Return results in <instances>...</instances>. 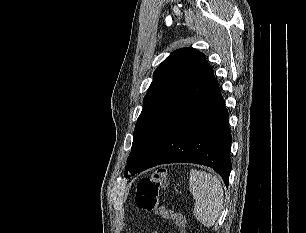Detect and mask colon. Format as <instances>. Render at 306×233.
<instances>
[{
    "label": "colon",
    "mask_w": 306,
    "mask_h": 233,
    "mask_svg": "<svg viewBox=\"0 0 306 233\" xmlns=\"http://www.w3.org/2000/svg\"><path fill=\"white\" fill-rule=\"evenodd\" d=\"M167 181V170L159 168L151 172L137 185L136 205L147 212L158 214L174 221L177 233H186V222L182 214L161 203L159 192Z\"/></svg>",
    "instance_id": "colon-1"
}]
</instances>
